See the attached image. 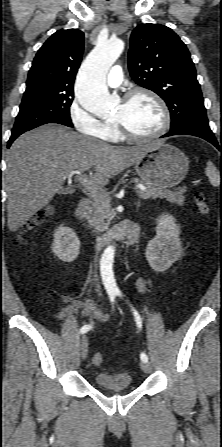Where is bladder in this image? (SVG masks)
Wrapping results in <instances>:
<instances>
[{
  "instance_id": "1",
  "label": "bladder",
  "mask_w": 222,
  "mask_h": 447,
  "mask_svg": "<svg viewBox=\"0 0 222 447\" xmlns=\"http://www.w3.org/2000/svg\"><path fill=\"white\" fill-rule=\"evenodd\" d=\"M96 384L105 391L118 392L132 388V377L129 372H100L94 376Z\"/></svg>"
}]
</instances>
